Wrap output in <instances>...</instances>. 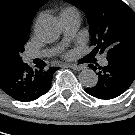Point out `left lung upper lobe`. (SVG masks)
I'll list each match as a JSON object with an SVG mask.
<instances>
[{"instance_id": "5c2ea615", "label": "left lung upper lobe", "mask_w": 135, "mask_h": 135, "mask_svg": "<svg viewBox=\"0 0 135 135\" xmlns=\"http://www.w3.org/2000/svg\"><path fill=\"white\" fill-rule=\"evenodd\" d=\"M87 16L92 53L135 67V12L122 0H65Z\"/></svg>"}]
</instances>
